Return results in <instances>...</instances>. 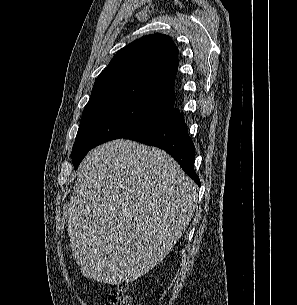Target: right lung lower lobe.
Instances as JSON below:
<instances>
[{"mask_svg":"<svg viewBox=\"0 0 297 305\" xmlns=\"http://www.w3.org/2000/svg\"><path fill=\"white\" fill-rule=\"evenodd\" d=\"M124 138L165 150L180 164L185 173L200 186L199 177L194 170V144L189 137L184 117L178 108L171 109L151 124Z\"/></svg>","mask_w":297,"mask_h":305,"instance_id":"1","label":"right lung lower lobe"}]
</instances>
